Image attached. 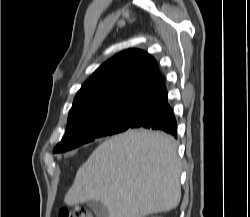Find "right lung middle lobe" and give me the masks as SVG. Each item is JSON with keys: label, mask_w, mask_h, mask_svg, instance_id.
I'll return each instance as SVG.
<instances>
[{"label": "right lung middle lobe", "mask_w": 250, "mask_h": 217, "mask_svg": "<svg viewBox=\"0 0 250 217\" xmlns=\"http://www.w3.org/2000/svg\"><path fill=\"white\" fill-rule=\"evenodd\" d=\"M140 103L98 110L68 120L65 136L53 152H65L94 139L130 128Z\"/></svg>", "instance_id": "right-lung-middle-lobe-1"}]
</instances>
